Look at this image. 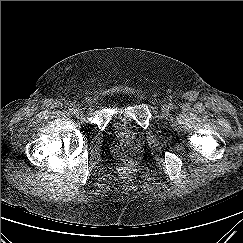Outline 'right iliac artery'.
I'll return each mask as SVG.
<instances>
[{"mask_svg":"<svg viewBox=\"0 0 243 243\" xmlns=\"http://www.w3.org/2000/svg\"><path fill=\"white\" fill-rule=\"evenodd\" d=\"M76 111H77V110L74 109V108H71V109H70V113H71V114H76Z\"/></svg>","mask_w":243,"mask_h":243,"instance_id":"82829eb1","label":"right iliac artery"}]
</instances>
